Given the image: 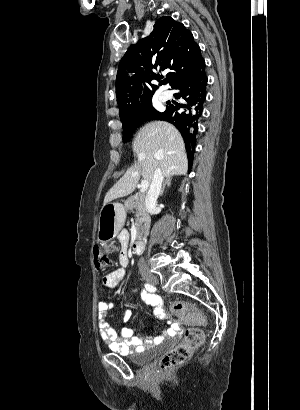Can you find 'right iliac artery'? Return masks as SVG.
<instances>
[{"label":"right iliac artery","mask_w":300,"mask_h":410,"mask_svg":"<svg viewBox=\"0 0 300 410\" xmlns=\"http://www.w3.org/2000/svg\"><path fill=\"white\" fill-rule=\"evenodd\" d=\"M145 288H146V290H148L149 292H155L156 291V288L153 286V285H151V284H145Z\"/></svg>","instance_id":"obj_1"}]
</instances>
